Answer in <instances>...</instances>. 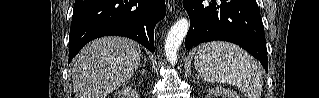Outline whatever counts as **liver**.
<instances>
[{
  "label": "liver",
  "instance_id": "obj_1",
  "mask_svg": "<svg viewBox=\"0 0 319 98\" xmlns=\"http://www.w3.org/2000/svg\"><path fill=\"white\" fill-rule=\"evenodd\" d=\"M140 59V45L128 38L103 37L88 43L71 62L76 98H107L129 81Z\"/></svg>",
  "mask_w": 319,
  "mask_h": 98
}]
</instances>
